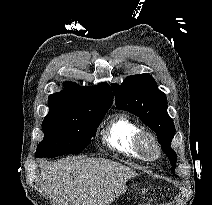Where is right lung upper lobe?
<instances>
[{"label":"right lung upper lobe","mask_w":212,"mask_h":205,"mask_svg":"<svg viewBox=\"0 0 212 205\" xmlns=\"http://www.w3.org/2000/svg\"><path fill=\"white\" fill-rule=\"evenodd\" d=\"M61 92L49 96L48 116H55L73 108H86L112 105L113 93L107 83H100L94 87H81L67 82Z\"/></svg>","instance_id":"1"}]
</instances>
